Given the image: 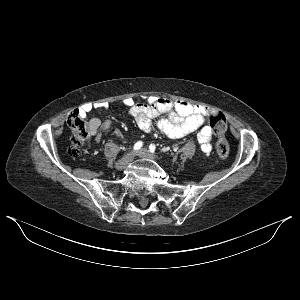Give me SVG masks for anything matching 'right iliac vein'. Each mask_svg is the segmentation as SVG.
<instances>
[{"label": "right iliac vein", "mask_w": 300, "mask_h": 300, "mask_svg": "<svg viewBox=\"0 0 300 300\" xmlns=\"http://www.w3.org/2000/svg\"><path fill=\"white\" fill-rule=\"evenodd\" d=\"M134 159V152H129L126 154L124 157H122L120 160L117 161L115 167L118 170H123L125 169L128 164Z\"/></svg>", "instance_id": "obj_1"}]
</instances>
